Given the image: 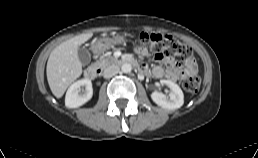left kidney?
I'll return each instance as SVG.
<instances>
[{
	"instance_id": "1",
	"label": "left kidney",
	"mask_w": 258,
	"mask_h": 158,
	"mask_svg": "<svg viewBox=\"0 0 258 158\" xmlns=\"http://www.w3.org/2000/svg\"><path fill=\"white\" fill-rule=\"evenodd\" d=\"M161 85H166L170 88L171 93L169 97H166L163 93L154 91L151 94V98L153 102H155L158 106L173 110L178 109L184 104V95L181 88L174 82L170 80H160Z\"/></svg>"
}]
</instances>
